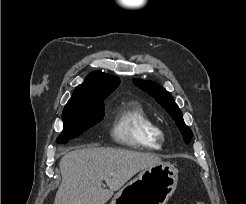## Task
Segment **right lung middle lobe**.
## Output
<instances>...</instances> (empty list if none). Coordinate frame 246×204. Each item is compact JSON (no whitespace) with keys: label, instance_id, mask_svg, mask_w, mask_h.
Wrapping results in <instances>:
<instances>
[{"label":"right lung middle lobe","instance_id":"dd1d6c3e","mask_svg":"<svg viewBox=\"0 0 246 204\" xmlns=\"http://www.w3.org/2000/svg\"><path fill=\"white\" fill-rule=\"evenodd\" d=\"M105 98L106 96L95 97L81 104L66 105L63 110V132L57 138V142L65 144L102 121Z\"/></svg>","mask_w":246,"mask_h":204}]
</instances>
